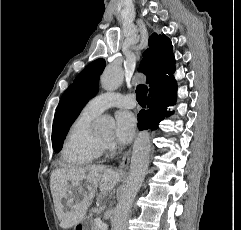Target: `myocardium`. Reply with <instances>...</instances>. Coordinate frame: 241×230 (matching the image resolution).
<instances>
[{
	"label": "myocardium",
	"mask_w": 241,
	"mask_h": 230,
	"mask_svg": "<svg viewBox=\"0 0 241 230\" xmlns=\"http://www.w3.org/2000/svg\"><path fill=\"white\" fill-rule=\"evenodd\" d=\"M94 141L101 146V148L103 147V141L98 139L97 137H94Z\"/></svg>",
	"instance_id": "1"
}]
</instances>
